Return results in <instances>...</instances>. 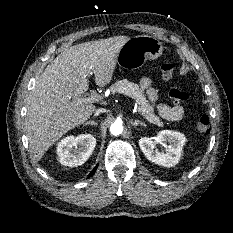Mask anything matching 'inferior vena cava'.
I'll list each match as a JSON object with an SVG mask.
<instances>
[{"instance_id":"inferior-vena-cava-1","label":"inferior vena cava","mask_w":233,"mask_h":233,"mask_svg":"<svg viewBox=\"0 0 233 233\" xmlns=\"http://www.w3.org/2000/svg\"><path fill=\"white\" fill-rule=\"evenodd\" d=\"M103 112H105V109H103V108L97 109L94 116H98L99 114H101Z\"/></svg>"}]
</instances>
